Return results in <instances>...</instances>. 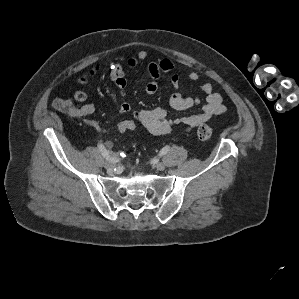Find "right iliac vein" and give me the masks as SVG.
I'll use <instances>...</instances> for the list:
<instances>
[{"label": "right iliac vein", "mask_w": 299, "mask_h": 299, "mask_svg": "<svg viewBox=\"0 0 299 299\" xmlns=\"http://www.w3.org/2000/svg\"><path fill=\"white\" fill-rule=\"evenodd\" d=\"M104 167H105L107 170L112 171V170L114 169V167H115V164L107 161V162L104 163Z\"/></svg>", "instance_id": "obj_1"}]
</instances>
